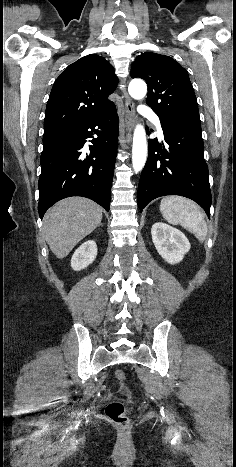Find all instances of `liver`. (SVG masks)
Segmentation results:
<instances>
[{
	"label": "liver",
	"instance_id": "liver-1",
	"mask_svg": "<svg viewBox=\"0 0 236 467\" xmlns=\"http://www.w3.org/2000/svg\"><path fill=\"white\" fill-rule=\"evenodd\" d=\"M102 220V208L90 199L70 197L57 202L45 214L43 232L51 251L65 258Z\"/></svg>",
	"mask_w": 236,
	"mask_h": 467
}]
</instances>
